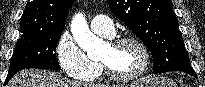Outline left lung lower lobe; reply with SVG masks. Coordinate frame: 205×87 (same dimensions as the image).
<instances>
[{"instance_id": "1", "label": "left lung lower lobe", "mask_w": 205, "mask_h": 87, "mask_svg": "<svg viewBox=\"0 0 205 87\" xmlns=\"http://www.w3.org/2000/svg\"><path fill=\"white\" fill-rule=\"evenodd\" d=\"M178 71H182V72H184V73H186V74H190V75H192V76H194V77L197 78L196 73L194 72V70H193L192 68L180 69V70H178Z\"/></svg>"}]
</instances>
